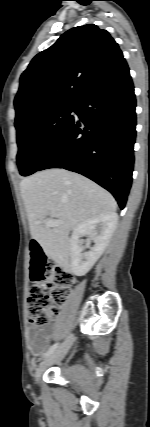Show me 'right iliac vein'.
<instances>
[{"label": "right iliac vein", "instance_id": "obj_1", "mask_svg": "<svg viewBox=\"0 0 150 427\" xmlns=\"http://www.w3.org/2000/svg\"><path fill=\"white\" fill-rule=\"evenodd\" d=\"M74 341V336L70 335L62 344L61 346L56 349L44 362L41 363V365L38 367L36 371V380L37 382L40 381V378L44 371L51 366L53 363L61 360L64 358V356L69 351L72 343Z\"/></svg>", "mask_w": 150, "mask_h": 427}]
</instances>
